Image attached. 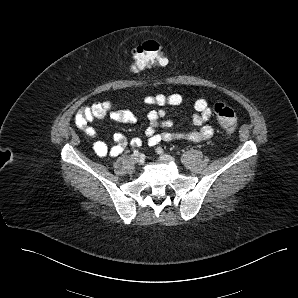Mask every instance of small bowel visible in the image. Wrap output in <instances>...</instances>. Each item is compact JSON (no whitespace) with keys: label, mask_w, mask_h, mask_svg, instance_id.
Here are the masks:
<instances>
[{"label":"small bowel","mask_w":298,"mask_h":298,"mask_svg":"<svg viewBox=\"0 0 298 298\" xmlns=\"http://www.w3.org/2000/svg\"><path fill=\"white\" fill-rule=\"evenodd\" d=\"M147 106H155L158 109H152L148 112L149 124L145 129L147 143L151 146L161 142H172L175 140H184L188 142H200L210 139L214 134V129L208 124L212 115L211 105L205 99H197L194 102L195 113L192 116L195 129L184 132L174 133L171 131L158 132L159 128H170L173 126V120L166 117L165 106H178L183 103V97L179 93L157 94L147 96L143 100ZM108 118L111 121L134 124L137 121L135 114L129 110H117L110 101L98 102L82 106L75 115V123L86 137L91 141L94 152L100 156L116 157L121 155L128 146L127 139L122 133H114L113 140L115 144L109 147L105 142L96 139V130L91 123L97 119ZM142 139L135 137L130 141L132 146H141Z\"/></svg>","instance_id":"1"}]
</instances>
